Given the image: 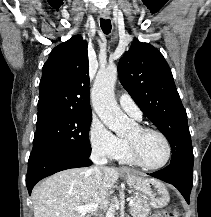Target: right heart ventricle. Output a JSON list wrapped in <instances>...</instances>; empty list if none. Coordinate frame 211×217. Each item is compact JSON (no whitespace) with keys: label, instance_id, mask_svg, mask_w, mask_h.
<instances>
[{"label":"right heart ventricle","instance_id":"1","mask_svg":"<svg viewBox=\"0 0 211 217\" xmlns=\"http://www.w3.org/2000/svg\"><path fill=\"white\" fill-rule=\"evenodd\" d=\"M120 162L122 163H126V164H131L133 163L130 155H129V151H128V145L127 142L125 141V146L121 152V154L118 156L117 158Z\"/></svg>","mask_w":211,"mask_h":217}]
</instances>
